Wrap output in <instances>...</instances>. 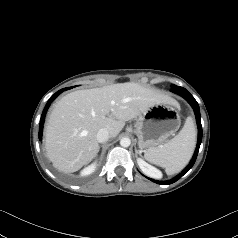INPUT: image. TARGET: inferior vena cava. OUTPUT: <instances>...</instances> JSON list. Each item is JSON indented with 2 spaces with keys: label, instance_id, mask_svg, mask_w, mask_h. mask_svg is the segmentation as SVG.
Here are the masks:
<instances>
[{
  "label": "inferior vena cava",
  "instance_id": "1",
  "mask_svg": "<svg viewBox=\"0 0 238 238\" xmlns=\"http://www.w3.org/2000/svg\"><path fill=\"white\" fill-rule=\"evenodd\" d=\"M96 138L99 143H103L107 141L110 138L109 131L105 128L100 129L97 132Z\"/></svg>",
  "mask_w": 238,
  "mask_h": 238
}]
</instances>
